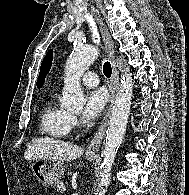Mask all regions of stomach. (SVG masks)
I'll use <instances>...</instances> for the list:
<instances>
[{"label": "stomach", "instance_id": "1", "mask_svg": "<svg viewBox=\"0 0 189 195\" xmlns=\"http://www.w3.org/2000/svg\"><path fill=\"white\" fill-rule=\"evenodd\" d=\"M95 156V153L85 154L87 160H93ZM65 168L66 165L64 162L54 159H39L31 165L33 175L36 177V179L40 183L48 186L59 181L60 177L65 172Z\"/></svg>", "mask_w": 189, "mask_h": 195}]
</instances>
